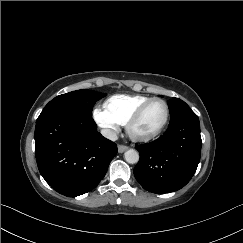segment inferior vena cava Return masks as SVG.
Segmentation results:
<instances>
[{
  "instance_id": "1",
  "label": "inferior vena cava",
  "mask_w": 243,
  "mask_h": 243,
  "mask_svg": "<svg viewBox=\"0 0 243 243\" xmlns=\"http://www.w3.org/2000/svg\"><path fill=\"white\" fill-rule=\"evenodd\" d=\"M101 134L111 140V141H116L118 139L117 133L111 129H102Z\"/></svg>"
}]
</instances>
